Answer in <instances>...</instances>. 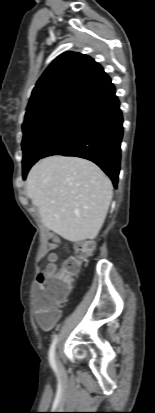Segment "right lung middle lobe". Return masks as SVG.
Returning <instances> with one entry per match:
<instances>
[{"instance_id": "obj_1", "label": "right lung middle lobe", "mask_w": 155, "mask_h": 413, "mask_svg": "<svg viewBox=\"0 0 155 413\" xmlns=\"http://www.w3.org/2000/svg\"><path fill=\"white\" fill-rule=\"evenodd\" d=\"M77 108L78 104L63 105L23 125V177L59 138Z\"/></svg>"}]
</instances>
